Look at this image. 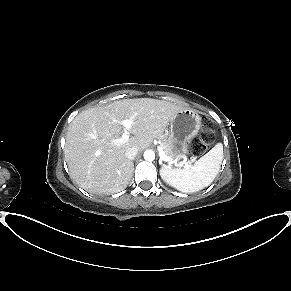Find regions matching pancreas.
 <instances>
[{"label": "pancreas", "mask_w": 291, "mask_h": 291, "mask_svg": "<svg viewBox=\"0 0 291 291\" xmlns=\"http://www.w3.org/2000/svg\"><path fill=\"white\" fill-rule=\"evenodd\" d=\"M161 146H162V148H163V150H164V153H165L166 155H169V140L164 139V140L162 141Z\"/></svg>", "instance_id": "obj_1"}]
</instances>
